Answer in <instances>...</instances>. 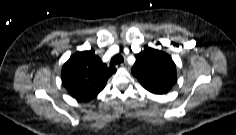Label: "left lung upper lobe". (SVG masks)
Segmentation results:
<instances>
[{
	"label": "left lung upper lobe",
	"mask_w": 236,
	"mask_h": 135,
	"mask_svg": "<svg viewBox=\"0 0 236 135\" xmlns=\"http://www.w3.org/2000/svg\"><path fill=\"white\" fill-rule=\"evenodd\" d=\"M135 57L131 72L149 92L164 94L176 83V66L170 55L146 47Z\"/></svg>",
	"instance_id": "obj_1"
}]
</instances>
